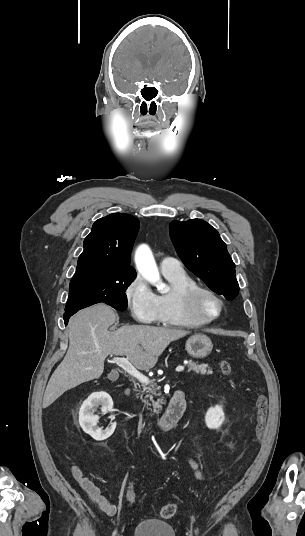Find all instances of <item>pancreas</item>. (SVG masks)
Returning <instances> with one entry per match:
<instances>
[{
	"label": "pancreas",
	"instance_id": "cf45deb5",
	"mask_svg": "<svg viewBox=\"0 0 305 536\" xmlns=\"http://www.w3.org/2000/svg\"><path fill=\"white\" fill-rule=\"evenodd\" d=\"M187 366L189 368L188 372H191V370H193V372H196V374H201V376H204V374H207V376L213 374L208 364H197V362H191L190 360ZM155 386L156 384H151V386H147L146 384V386H143L142 392H146L147 396H145V398H149V400H151L154 406V412H156V414H159V410H161L162 408V406H160L162 402L161 400H158V402H154L153 398H155V396H161V394H157V390H159V388H155ZM142 402H144V404H148V400H142Z\"/></svg>",
	"mask_w": 305,
	"mask_h": 536
}]
</instances>
